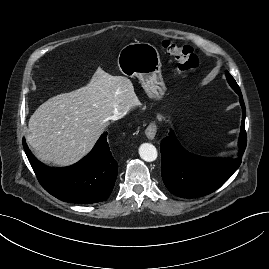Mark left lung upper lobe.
Segmentation results:
<instances>
[{
    "label": "left lung upper lobe",
    "instance_id": "obj_1",
    "mask_svg": "<svg viewBox=\"0 0 269 269\" xmlns=\"http://www.w3.org/2000/svg\"><path fill=\"white\" fill-rule=\"evenodd\" d=\"M226 77H227V81L230 84V86L235 90H240L238 84L236 83V81L234 80V78L226 71L225 72Z\"/></svg>",
    "mask_w": 269,
    "mask_h": 269
}]
</instances>
